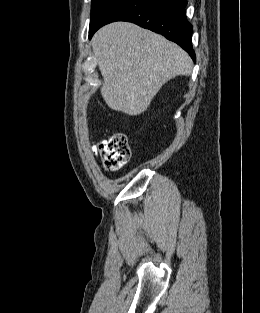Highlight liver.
Instances as JSON below:
<instances>
[{"mask_svg":"<svg viewBox=\"0 0 260 313\" xmlns=\"http://www.w3.org/2000/svg\"><path fill=\"white\" fill-rule=\"evenodd\" d=\"M92 48L104 80V101L130 116L146 111L168 80L189 75L193 68L177 44L128 22L102 27L92 38Z\"/></svg>","mask_w":260,"mask_h":313,"instance_id":"liver-1","label":"liver"}]
</instances>
